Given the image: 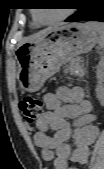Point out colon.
I'll return each mask as SVG.
<instances>
[{
  "instance_id": "colon-1",
  "label": "colon",
  "mask_w": 104,
  "mask_h": 169,
  "mask_svg": "<svg viewBox=\"0 0 104 169\" xmlns=\"http://www.w3.org/2000/svg\"><path fill=\"white\" fill-rule=\"evenodd\" d=\"M19 108L24 121L32 124L38 120L43 113V103L41 99L33 96H25L19 102Z\"/></svg>"
}]
</instances>
